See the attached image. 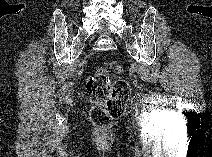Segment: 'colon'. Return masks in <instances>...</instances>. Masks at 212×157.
<instances>
[{"instance_id": "obj_1", "label": "colon", "mask_w": 212, "mask_h": 157, "mask_svg": "<svg viewBox=\"0 0 212 157\" xmlns=\"http://www.w3.org/2000/svg\"><path fill=\"white\" fill-rule=\"evenodd\" d=\"M121 74L122 67L111 60L88 78V91L101 100L90 113L91 121L99 127L109 126L125 112L130 87L127 81L119 78Z\"/></svg>"}]
</instances>
